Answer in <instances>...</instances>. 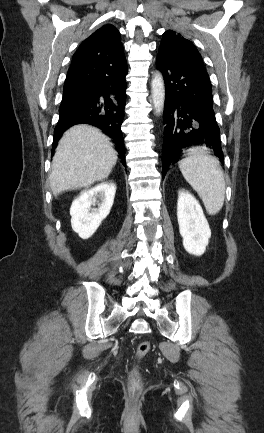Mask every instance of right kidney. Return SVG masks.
Instances as JSON below:
<instances>
[{"mask_svg": "<svg viewBox=\"0 0 264 433\" xmlns=\"http://www.w3.org/2000/svg\"><path fill=\"white\" fill-rule=\"evenodd\" d=\"M116 192L114 183L103 182L97 186L82 191L71 205L72 229L82 239L91 237L101 222L110 213ZM97 198L101 199L99 207L91 208Z\"/></svg>", "mask_w": 264, "mask_h": 433, "instance_id": "obj_1", "label": "right kidney"}]
</instances>
